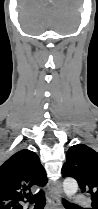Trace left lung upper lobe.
Listing matches in <instances>:
<instances>
[{"mask_svg": "<svg viewBox=\"0 0 98 209\" xmlns=\"http://www.w3.org/2000/svg\"><path fill=\"white\" fill-rule=\"evenodd\" d=\"M62 167L63 177H73L83 193H88L92 209H98V152L77 144L69 148Z\"/></svg>", "mask_w": 98, "mask_h": 209, "instance_id": "1", "label": "left lung upper lobe"}]
</instances>
